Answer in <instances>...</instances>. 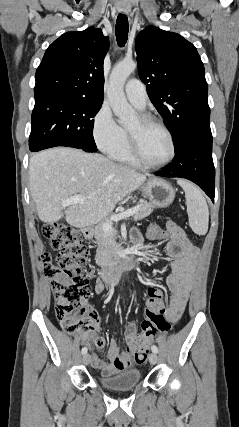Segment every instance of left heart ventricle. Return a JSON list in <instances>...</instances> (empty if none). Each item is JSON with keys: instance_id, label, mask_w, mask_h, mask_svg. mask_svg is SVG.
I'll return each instance as SVG.
<instances>
[{"instance_id": "obj_1", "label": "left heart ventricle", "mask_w": 239, "mask_h": 427, "mask_svg": "<svg viewBox=\"0 0 239 427\" xmlns=\"http://www.w3.org/2000/svg\"><path fill=\"white\" fill-rule=\"evenodd\" d=\"M127 129L137 136L142 156L150 163H161L171 154V144L167 135L157 127L141 123L136 117Z\"/></svg>"}]
</instances>
